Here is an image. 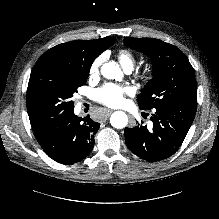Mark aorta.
Wrapping results in <instances>:
<instances>
[{
    "label": "aorta",
    "mask_w": 219,
    "mask_h": 219,
    "mask_svg": "<svg viewBox=\"0 0 219 219\" xmlns=\"http://www.w3.org/2000/svg\"><path fill=\"white\" fill-rule=\"evenodd\" d=\"M101 74L106 79H117L121 75V70L115 61H109L102 65ZM110 123L116 129H123L128 124V117L126 113L116 111L112 113Z\"/></svg>",
    "instance_id": "1"
}]
</instances>
